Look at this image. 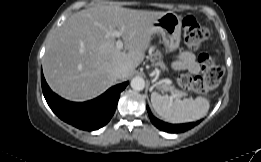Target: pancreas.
Segmentation results:
<instances>
[{
    "mask_svg": "<svg viewBox=\"0 0 261 162\" xmlns=\"http://www.w3.org/2000/svg\"><path fill=\"white\" fill-rule=\"evenodd\" d=\"M156 60H158V61L156 62ZM151 62H152L153 65L159 66V67H161L162 69H164V63H163V61H161V54H160V52L156 51L155 53L152 54ZM157 88H158V89H162V90H173V89H174L173 86H170L169 84H165V83H160V84H158V85H157ZM176 91H177L178 93L184 95L183 92H180V91H178V90H176Z\"/></svg>",
    "mask_w": 261,
    "mask_h": 162,
    "instance_id": "pancreas-1",
    "label": "pancreas"
}]
</instances>
